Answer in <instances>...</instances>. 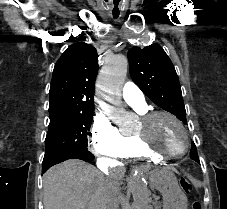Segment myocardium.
Masks as SVG:
<instances>
[{
	"label": "myocardium",
	"instance_id": "obj_1",
	"mask_svg": "<svg viewBox=\"0 0 227 209\" xmlns=\"http://www.w3.org/2000/svg\"><path fill=\"white\" fill-rule=\"evenodd\" d=\"M158 115H164V116L172 119L178 125V127L181 129V131L183 132L184 137H185V145H184L183 149L177 153H162V152L154 149L153 147H151L150 144L139 133H134V135H133L136 142L145 150L146 153H148L149 155H152L154 157H157L159 159H167V160L175 159V158H179V157L185 155L188 152L189 147H190V138H189V134L187 132L185 125L176 115H174L173 113H171L167 110H162V109L147 110L141 114L140 122L143 124Z\"/></svg>",
	"mask_w": 227,
	"mask_h": 209
}]
</instances>
